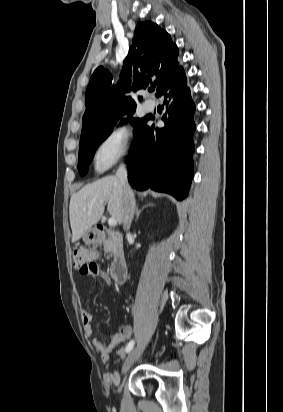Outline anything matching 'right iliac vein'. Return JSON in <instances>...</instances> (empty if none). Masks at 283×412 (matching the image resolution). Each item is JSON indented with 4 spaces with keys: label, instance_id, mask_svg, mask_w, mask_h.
I'll use <instances>...</instances> for the list:
<instances>
[{
    "label": "right iliac vein",
    "instance_id": "right-iliac-vein-1",
    "mask_svg": "<svg viewBox=\"0 0 283 412\" xmlns=\"http://www.w3.org/2000/svg\"><path fill=\"white\" fill-rule=\"evenodd\" d=\"M144 348H145V343L141 342L130 352V354L127 356V358L124 361V364L122 367V373H126L130 369L133 363L141 356Z\"/></svg>",
    "mask_w": 283,
    "mask_h": 412
}]
</instances>
